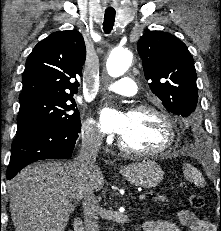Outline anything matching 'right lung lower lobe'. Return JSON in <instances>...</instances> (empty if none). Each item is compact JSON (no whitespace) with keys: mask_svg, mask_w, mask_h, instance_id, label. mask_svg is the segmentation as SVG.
<instances>
[{"mask_svg":"<svg viewBox=\"0 0 221 231\" xmlns=\"http://www.w3.org/2000/svg\"><path fill=\"white\" fill-rule=\"evenodd\" d=\"M78 133L79 131L48 123L26 126L16 133L13 140L7 179L13 178L26 165L38 160L70 158Z\"/></svg>","mask_w":221,"mask_h":231,"instance_id":"obj_1","label":"right lung lower lobe"}]
</instances>
